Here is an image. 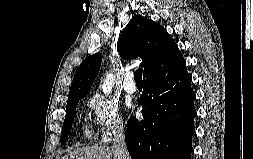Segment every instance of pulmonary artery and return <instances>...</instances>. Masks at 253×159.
<instances>
[{
  "mask_svg": "<svg viewBox=\"0 0 253 159\" xmlns=\"http://www.w3.org/2000/svg\"><path fill=\"white\" fill-rule=\"evenodd\" d=\"M133 79H134V73L128 72L125 76V80L123 84L124 90L130 94L135 93L137 90L136 84L134 83Z\"/></svg>",
  "mask_w": 253,
  "mask_h": 159,
  "instance_id": "pulmonary-artery-1",
  "label": "pulmonary artery"
}]
</instances>
